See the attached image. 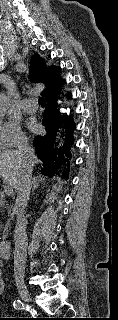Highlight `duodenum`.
<instances>
[{
    "label": "duodenum",
    "instance_id": "obj_1",
    "mask_svg": "<svg viewBox=\"0 0 118 320\" xmlns=\"http://www.w3.org/2000/svg\"><path fill=\"white\" fill-rule=\"evenodd\" d=\"M10 246L11 242L9 240L0 241V258H8Z\"/></svg>",
    "mask_w": 118,
    "mask_h": 320
}]
</instances>
